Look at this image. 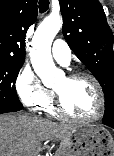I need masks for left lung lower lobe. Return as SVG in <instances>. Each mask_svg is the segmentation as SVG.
Segmentation results:
<instances>
[{
  "mask_svg": "<svg viewBox=\"0 0 114 156\" xmlns=\"http://www.w3.org/2000/svg\"><path fill=\"white\" fill-rule=\"evenodd\" d=\"M105 125H108L114 129V124H105Z\"/></svg>",
  "mask_w": 114,
  "mask_h": 156,
  "instance_id": "1",
  "label": "left lung lower lobe"
}]
</instances>
